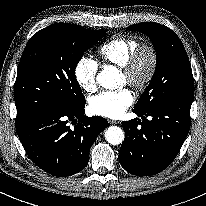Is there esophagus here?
<instances>
[{"label": "esophagus", "mask_w": 206, "mask_h": 206, "mask_svg": "<svg viewBox=\"0 0 206 206\" xmlns=\"http://www.w3.org/2000/svg\"><path fill=\"white\" fill-rule=\"evenodd\" d=\"M109 123H110V124H119L120 122H119V121H116V120H109Z\"/></svg>", "instance_id": "34e87169"}]
</instances>
